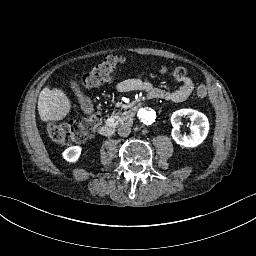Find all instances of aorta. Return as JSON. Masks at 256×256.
I'll return each mask as SVG.
<instances>
[{"label":"aorta","instance_id":"1","mask_svg":"<svg viewBox=\"0 0 256 256\" xmlns=\"http://www.w3.org/2000/svg\"><path fill=\"white\" fill-rule=\"evenodd\" d=\"M139 116L142 122L148 124L154 121L156 114L153 108L147 106L141 109Z\"/></svg>","mask_w":256,"mask_h":256}]
</instances>
